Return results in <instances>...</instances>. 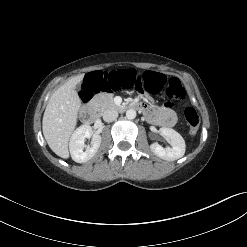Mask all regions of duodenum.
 I'll list each match as a JSON object with an SVG mask.
<instances>
[{
    "mask_svg": "<svg viewBox=\"0 0 247 247\" xmlns=\"http://www.w3.org/2000/svg\"><path fill=\"white\" fill-rule=\"evenodd\" d=\"M130 108L136 109V110H144V106L139 103V102H134L132 104L129 105ZM98 118V111L97 108L92 105L89 104L85 109L84 112L82 114V119L86 122V123H93L97 120Z\"/></svg>",
    "mask_w": 247,
    "mask_h": 247,
    "instance_id": "duodenum-1",
    "label": "duodenum"
}]
</instances>
